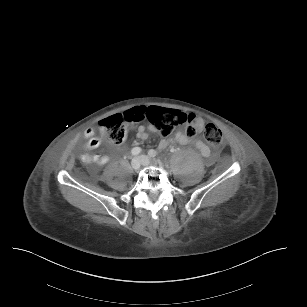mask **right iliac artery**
I'll list each match as a JSON object with an SVG mask.
<instances>
[{"mask_svg": "<svg viewBox=\"0 0 307 307\" xmlns=\"http://www.w3.org/2000/svg\"><path fill=\"white\" fill-rule=\"evenodd\" d=\"M141 152V148L140 147H135L132 149L131 153L132 155L136 156Z\"/></svg>", "mask_w": 307, "mask_h": 307, "instance_id": "1", "label": "right iliac artery"}]
</instances>
